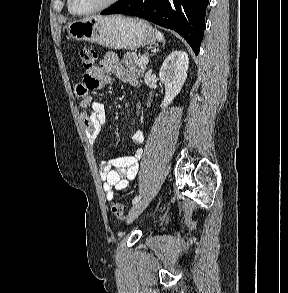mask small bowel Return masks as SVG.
<instances>
[{
  "instance_id": "c3829d8e",
  "label": "small bowel",
  "mask_w": 288,
  "mask_h": 293,
  "mask_svg": "<svg viewBox=\"0 0 288 293\" xmlns=\"http://www.w3.org/2000/svg\"><path fill=\"white\" fill-rule=\"evenodd\" d=\"M112 73L128 85H137V78L124 69L118 55L114 52H108L100 60L98 66L89 72H84L82 81L75 88V93L80 98L81 119L91 145L95 144L105 126L107 114L104 104L95 101L90 92L109 85L112 80L110 76ZM143 142L144 133L140 130L135 131L132 134V143L136 146V149L132 155L117 156L100 161V177L108 200L114 197V191L124 194L131 189L132 181L138 172V162L143 154L141 148Z\"/></svg>"
}]
</instances>
